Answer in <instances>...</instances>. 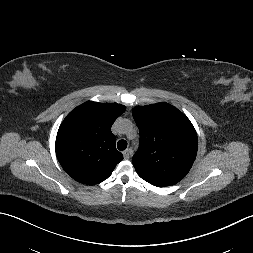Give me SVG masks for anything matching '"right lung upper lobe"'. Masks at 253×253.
I'll use <instances>...</instances> for the list:
<instances>
[{
    "label": "right lung upper lobe",
    "mask_w": 253,
    "mask_h": 253,
    "mask_svg": "<svg viewBox=\"0 0 253 253\" xmlns=\"http://www.w3.org/2000/svg\"><path fill=\"white\" fill-rule=\"evenodd\" d=\"M126 107L87 101L72 110L59 127L56 155L76 181L94 185L108 178L123 155L115 147L111 125Z\"/></svg>",
    "instance_id": "1"
}]
</instances>
